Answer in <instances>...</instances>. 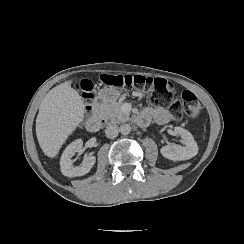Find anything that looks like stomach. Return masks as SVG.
Returning <instances> with one entry per match:
<instances>
[{
  "instance_id": "0dacf381",
  "label": "stomach",
  "mask_w": 244,
  "mask_h": 244,
  "mask_svg": "<svg viewBox=\"0 0 244 244\" xmlns=\"http://www.w3.org/2000/svg\"><path fill=\"white\" fill-rule=\"evenodd\" d=\"M120 95V91L115 87H105L98 92L97 99H100L104 103H108L113 99H117Z\"/></svg>"
}]
</instances>
